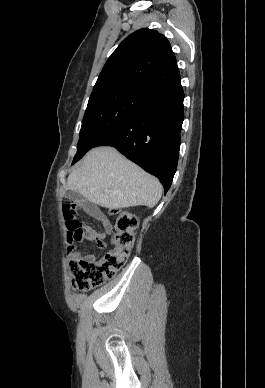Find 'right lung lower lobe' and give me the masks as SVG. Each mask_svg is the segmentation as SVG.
I'll use <instances>...</instances> for the list:
<instances>
[{
	"mask_svg": "<svg viewBox=\"0 0 265 388\" xmlns=\"http://www.w3.org/2000/svg\"><path fill=\"white\" fill-rule=\"evenodd\" d=\"M181 82L144 99L138 109L94 147L112 146L169 190L177 168L184 120Z\"/></svg>",
	"mask_w": 265,
	"mask_h": 388,
	"instance_id": "obj_1",
	"label": "right lung lower lobe"
}]
</instances>
